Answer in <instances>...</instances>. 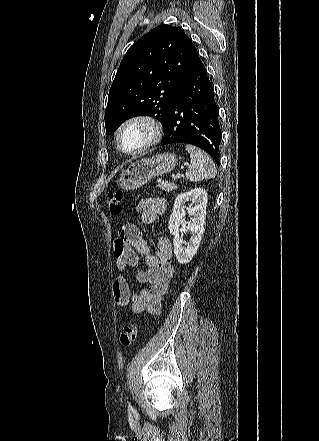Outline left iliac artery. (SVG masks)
<instances>
[{
    "instance_id": "left-iliac-artery-1",
    "label": "left iliac artery",
    "mask_w": 319,
    "mask_h": 441,
    "mask_svg": "<svg viewBox=\"0 0 319 441\" xmlns=\"http://www.w3.org/2000/svg\"><path fill=\"white\" fill-rule=\"evenodd\" d=\"M129 409H130V410H132V409H133V408H132V406H131L130 404H129Z\"/></svg>"
}]
</instances>
